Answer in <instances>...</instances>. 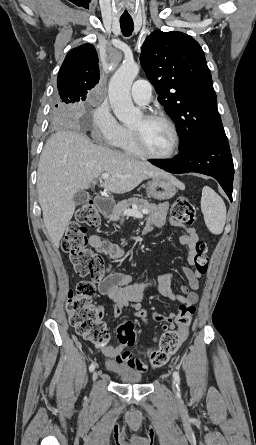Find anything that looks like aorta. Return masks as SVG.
I'll list each match as a JSON object with an SVG mask.
<instances>
[{"mask_svg":"<svg viewBox=\"0 0 256 445\" xmlns=\"http://www.w3.org/2000/svg\"><path fill=\"white\" fill-rule=\"evenodd\" d=\"M139 73V66L134 62L123 63L109 83V100L117 119L125 124L135 122L141 115L133 105L130 89Z\"/></svg>","mask_w":256,"mask_h":445,"instance_id":"obj_1","label":"aorta"}]
</instances>
